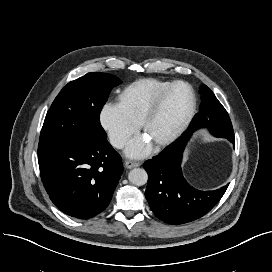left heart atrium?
<instances>
[{"label":"left heart atrium","instance_id":"39dd6f15","mask_svg":"<svg viewBox=\"0 0 272 272\" xmlns=\"http://www.w3.org/2000/svg\"><path fill=\"white\" fill-rule=\"evenodd\" d=\"M151 150V143L145 137L133 139L126 147V155L131 158L146 156Z\"/></svg>","mask_w":272,"mask_h":272}]
</instances>
